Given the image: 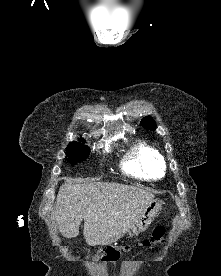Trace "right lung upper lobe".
<instances>
[{
  "label": "right lung upper lobe",
  "mask_w": 221,
  "mask_h": 276,
  "mask_svg": "<svg viewBox=\"0 0 221 276\" xmlns=\"http://www.w3.org/2000/svg\"><path fill=\"white\" fill-rule=\"evenodd\" d=\"M80 141H83V139L81 138V139H79ZM71 143H76L75 141H73V142H71Z\"/></svg>",
  "instance_id": "obj_1"
}]
</instances>
